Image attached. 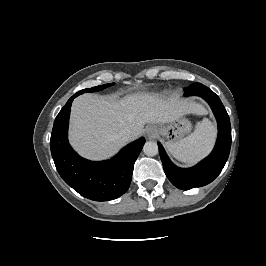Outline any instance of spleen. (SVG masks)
Here are the masks:
<instances>
[{
	"label": "spleen",
	"mask_w": 266,
	"mask_h": 266,
	"mask_svg": "<svg viewBox=\"0 0 266 266\" xmlns=\"http://www.w3.org/2000/svg\"><path fill=\"white\" fill-rule=\"evenodd\" d=\"M215 135L214 125L205 118L197 123L195 131L189 136L176 142H166V147L176 160L193 164L210 152Z\"/></svg>",
	"instance_id": "obj_1"
}]
</instances>
